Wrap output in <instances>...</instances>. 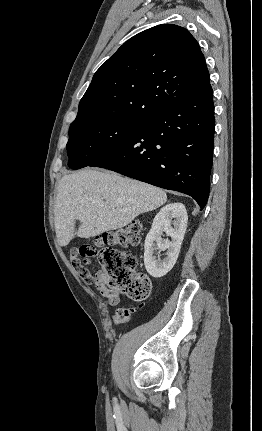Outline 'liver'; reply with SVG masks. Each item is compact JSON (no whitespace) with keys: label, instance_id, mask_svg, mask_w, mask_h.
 Returning a JSON list of instances; mask_svg holds the SVG:
<instances>
[{"label":"liver","instance_id":"6515ba94","mask_svg":"<svg viewBox=\"0 0 262 431\" xmlns=\"http://www.w3.org/2000/svg\"><path fill=\"white\" fill-rule=\"evenodd\" d=\"M166 201L165 191L110 171L87 168L64 175L54 205L58 242L66 246L75 236L90 238L120 229Z\"/></svg>","mask_w":262,"mask_h":431}]
</instances>
